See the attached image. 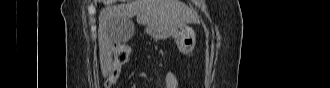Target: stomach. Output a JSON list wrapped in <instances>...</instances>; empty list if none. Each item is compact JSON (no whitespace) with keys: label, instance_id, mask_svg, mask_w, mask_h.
Wrapping results in <instances>:
<instances>
[{"label":"stomach","instance_id":"obj_1","mask_svg":"<svg viewBox=\"0 0 330 88\" xmlns=\"http://www.w3.org/2000/svg\"><path fill=\"white\" fill-rule=\"evenodd\" d=\"M163 27L167 30V36H173L176 39L178 49L181 53L188 54L194 49L196 44V31L192 26L180 24ZM152 34L158 35L156 31H153Z\"/></svg>","mask_w":330,"mask_h":88}]
</instances>
